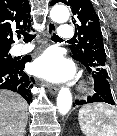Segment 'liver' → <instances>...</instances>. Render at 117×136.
I'll use <instances>...</instances> for the list:
<instances>
[{"mask_svg": "<svg viewBox=\"0 0 117 136\" xmlns=\"http://www.w3.org/2000/svg\"><path fill=\"white\" fill-rule=\"evenodd\" d=\"M28 104L19 94L0 90V136H23Z\"/></svg>", "mask_w": 117, "mask_h": 136, "instance_id": "1", "label": "liver"}]
</instances>
